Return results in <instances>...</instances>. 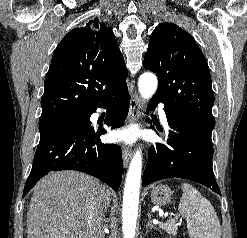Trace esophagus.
Returning <instances> with one entry per match:
<instances>
[{
	"mask_svg": "<svg viewBox=\"0 0 247 238\" xmlns=\"http://www.w3.org/2000/svg\"><path fill=\"white\" fill-rule=\"evenodd\" d=\"M140 106H141V98L138 94H134L130 101L128 123H133L138 119ZM122 156H123L124 167L127 168L131 159V149L127 147H123Z\"/></svg>",
	"mask_w": 247,
	"mask_h": 238,
	"instance_id": "obj_1",
	"label": "esophagus"
}]
</instances>
